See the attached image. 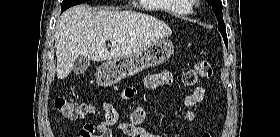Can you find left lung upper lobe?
Returning <instances> with one entry per match:
<instances>
[{
    "instance_id": "left-lung-upper-lobe-1",
    "label": "left lung upper lobe",
    "mask_w": 280,
    "mask_h": 137,
    "mask_svg": "<svg viewBox=\"0 0 280 137\" xmlns=\"http://www.w3.org/2000/svg\"><path fill=\"white\" fill-rule=\"evenodd\" d=\"M207 2L212 6V10L215 13L217 20H218V25H219L218 30L220 31V33L223 37L226 47H228L226 26L223 21V15H222V9H223L222 2H221V0H207Z\"/></svg>"
}]
</instances>
